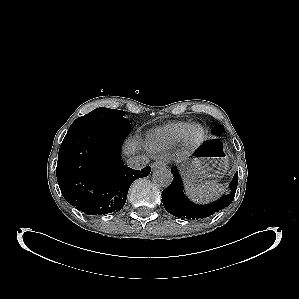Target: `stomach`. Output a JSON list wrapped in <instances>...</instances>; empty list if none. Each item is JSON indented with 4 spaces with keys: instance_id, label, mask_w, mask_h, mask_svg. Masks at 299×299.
<instances>
[{
    "instance_id": "stomach-1",
    "label": "stomach",
    "mask_w": 299,
    "mask_h": 299,
    "mask_svg": "<svg viewBox=\"0 0 299 299\" xmlns=\"http://www.w3.org/2000/svg\"><path fill=\"white\" fill-rule=\"evenodd\" d=\"M228 168V157L219 140H210L199 148L184 166L183 176L191 185L221 178Z\"/></svg>"
}]
</instances>
